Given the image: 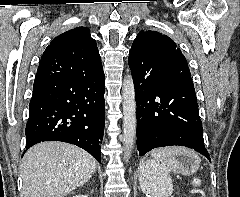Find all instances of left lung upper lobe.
<instances>
[{
  "mask_svg": "<svg viewBox=\"0 0 240 197\" xmlns=\"http://www.w3.org/2000/svg\"><path fill=\"white\" fill-rule=\"evenodd\" d=\"M129 66L131 71H154L163 76L192 81L181 50L168 36L156 31H140L129 52Z\"/></svg>",
  "mask_w": 240,
  "mask_h": 197,
  "instance_id": "left-lung-upper-lobe-1",
  "label": "left lung upper lobe"
}]
</instances>
